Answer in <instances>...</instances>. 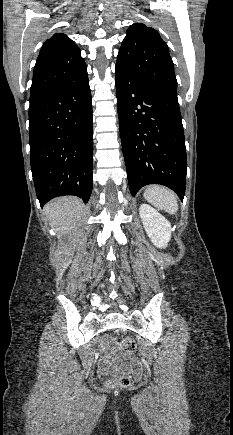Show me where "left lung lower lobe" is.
<instances>
[{
	"instance_id": "left-lung-lower-lobe-1",
	"label": "left lung lower lobe",
	"mask_w": 233,
	"mask_h": 435,
	"mask_svg": "<svg viewBox=\"0 0 233 435\" xmlns=\"http://www.w3.org/2000/svg\"><path fill=\"white\" fill-rule=\"evenodd\" d=\"M119 128L129 189L148 184L175 191L186 187L187 156L178 99L153 91L116 66Z\"/></svg>"
}]
</instances>
